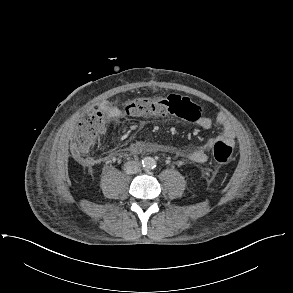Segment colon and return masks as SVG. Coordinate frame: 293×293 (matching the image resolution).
<instances>
[{"label": "colon", "mask_w": 293, "mask_h": 293, "mask_svg": "<svg viewBox=\"0 0 293 293\" xmlns=\"http://www.w3.org/2000/svg\"><path fill=\"white\" fill-rule=\"evenodd\" d=\"M124 113L130 117H161L171 115L185 120L196 121L201 110L184 95L172 94L161 99L136 98L124 107ZM105 112L97 111L85 117L78 125L72 143L74 155L82 157L98 143L107 126ZM216 161L229 163L232 160L233 148L225 141H217L213 146Z\"/></svg>", "instance_id": "1"}]
</instances>
